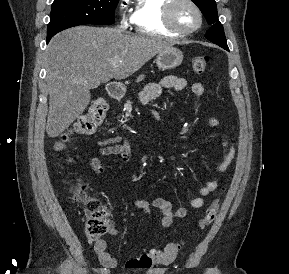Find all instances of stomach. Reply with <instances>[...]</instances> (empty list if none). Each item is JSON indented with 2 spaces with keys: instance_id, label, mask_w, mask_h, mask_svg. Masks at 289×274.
<instances>
[{
  "instance_id": "0dacf381",
  "label": "stomach",
  "mask_w": 289,
  "mask_h": 274,
  "mask_svg": "<svg viewBox=\"0 0 289 274\" xmlns=\"http://www.w3.org/2000/svg\"><path fill=\"white\" fill-rule=\"evenodd\" d=\"M182 61L183 53L177 48H171L165 52L159 53L156 58L157 66L163 70L175 68L179 66ZM121 90H125L123 85H121Z\"/></svg>"
}]
</instances>
